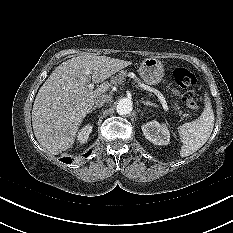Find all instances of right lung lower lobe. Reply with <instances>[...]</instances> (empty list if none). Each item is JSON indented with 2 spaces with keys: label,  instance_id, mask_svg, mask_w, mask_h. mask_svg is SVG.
I'll list each match as a JSON object with an SVG mask.
<instances>
[{
  "label": "right lung lower lobe",
  "instance_id": "98d812e1",
  "mask_svg": "<svg viewBox=\"0 0 233 233\" xmlns=\"http://www.w3.org/2000/svg\"><path fill=\"white\" fill-rule=\"evenodd\" d=\"M91 152L89 151V152H87L86 154H85V157H87L89 154H90ZM62 162H64V163H66V164H70L71 162H72V159L71 158H62V159H60Z\"/></svg>",
  "mask_w": 233,
  "mask_h": 233
}]
</instances>
